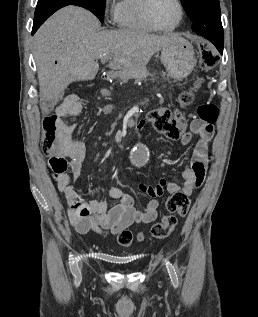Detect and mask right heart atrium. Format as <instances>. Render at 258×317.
I'll return each instance as SVG.
<instances>
[{"mask_svg": "<svg viewBox=\"0 0 258 317\" xmlns=\"http://www.w3.org/2000/svg\"><path fill=\"white\" fill-rule=\"evenodd\" d=\"M106 15L109 20L116 22V3L110 4L106 8Z\"/></svg>", "mask_w": 258, "mask_h": 317, "instance_id": "right-heart-atrium-1", "label": "right heart atrium"}]
</instances>
